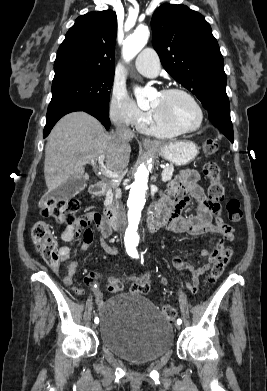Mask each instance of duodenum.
Segmentation results:
<instances>
[{
  "label": "duodenum",
  "mask_w": 267,
  "mask_h": 391,
  "mask_svg": "<svg viewBox=\"0 0 267 391\" xmlns=\"http://www.w3.org/2000/svg\"><path fill=\"white\" fill-rule=\"evenodd\" d=\"M106 191V184L102 181L93 183L90 187V193L93 196H101ZM106 224L113 229L117 228L118 212L115 208H107L104 212ZM164 225V218L160 212L153 213L148 219V228L150 232L157 231Z\"/></svg>",
  "instance_id": "410a0bca"
}]
</instances>
